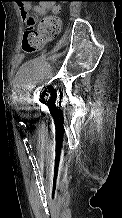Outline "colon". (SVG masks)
Listing matches in <instances>:
<instances>
[{
    "label": "colon",
    "instance_id": "obj_1",
    "mask_svg": "<svg viewBox=\"0 0 122 218\" xmlns=\"http://www.w3.org/2000/svg\"><path fill=\"white\" fill-rule=\"evenodd\" d=\"M25 1H40V0H25ZM44 1V0H43ZM55 13L44 17L37 29H34L35 18L24 12L27 28L22 39V49L27 53H32L40 50L47 42L54 40L60 31V19Z\"/></svg>",
    "mask_w": 122,
    "mask_h": 218
}]
</instances>
